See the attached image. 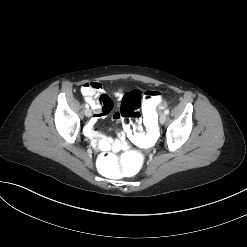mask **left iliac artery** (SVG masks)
<instances>
[{
  "instance_id": "1",
  "label": "left iliac artery",
  "mask_w": 247,
  "mask_h": 247,
  "mask_svg": "<svg viewBox=\"0 0 247 247\" xmlns=\"http://www.w3.org/2000/svg\"><path fill=\"white\" fill-rule=\"evenodd\" d=\"M164 113L167 115V114H169V109H166L165 111H164Z\"/></svg>"
}]
</instances>
